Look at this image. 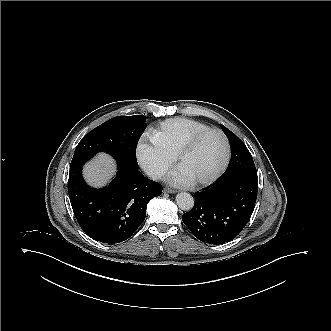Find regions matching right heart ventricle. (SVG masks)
Wrapping results in <instances>:
<instances>
[{"label": "right heart ventricle", "mask_w": 331, "mask_h": 331, "mask_svg": "<svg viewBox=\"0 0 331 331\" xmlns=\"http://www.w3.org/2000/svg\"><path fill=\"white\" fill-rule=\"evenodd\" d=\"M207 129L209 126L201 121L174 117L160 124L152 141L160 151L175 155L190 138Z\"/></svg>", "instance_id": "obj_1"}]
</instances>
